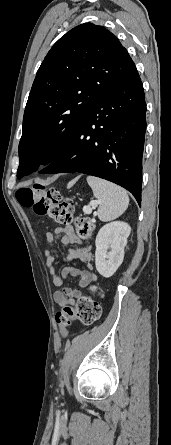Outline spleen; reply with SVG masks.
I'll return each mask as SVG.
<instances>
[{"label":"spleen","instance_id":"3e777b00","mask_svg":"<svg viewBox=\"0 0 171 445\" xmlns=\"http://www.w3.org/2000/svg\"><path fill=\"white\" fill-rule=\"evenodd\" d=\"M87 182L100 202L97 213L101 221L116 219L125 212L129 197L123 188L94 176H88Z\"/></svg>","mask_w":171,"mask_h":445}]
</instances>
